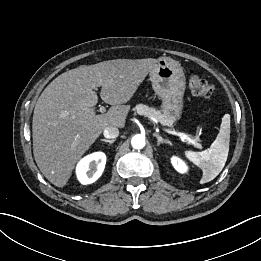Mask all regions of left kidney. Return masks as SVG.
Returning a JSON list of instances; mask_svg holds the SVG:
<instances>
[{
    "instance_id": "obj_1",
    "label": "left kidney",
    "mask_w": 261,
    "mask_h": 261,
    "mask_svg": "<svg viewBox=\"0 0 261 261\" xmlns=\"http://www.w3.org/2000/svg\"><path fill=\"white\" fill-rule=\"evenodd\" d=\"M171 163L174 166V168L180 173H185L188 169L186 164L181 159H179L177 157H172Z\"/></svg>"
}]
</instances>
